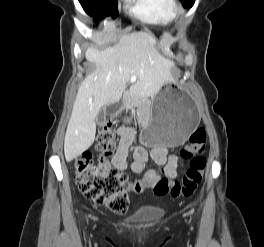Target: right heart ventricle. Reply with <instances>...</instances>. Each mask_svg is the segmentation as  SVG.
<instances>
[{"instance_id": "obj_1", "label": "right heart ventricle", "mask_w": 264, "mask_h": 247, "mask_svg": "<svg viewBox=\"0 0 264 247\" xmlns=\"http://www.w3.org/2000/svg\"><path fill=\"white\" fill-rule=\"evenodd\" d=\"M175 0H136L131 11L139 20L158 25H172L176 21Z\"/></svg>"}]
</instances>
